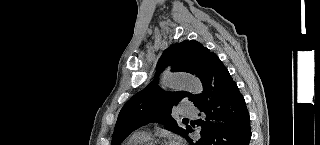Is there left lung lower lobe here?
<instances>
[{"label":"left lung lower lobe","instance_id":"obj_1","mask_svg":"<svg viewBox=\"0 0 320 145\" xmlns=\"http://www.w3.org/2000/svg\"><path fill=\"white\" fill-rule=\"evenodd\" d=\"M203 92L194 104L201 117V138L190 145H248L251 139L250 117L246 103L227 68L218 58L205 71ZM193 129L189 127V132Z\"/></svg>","mask_w":320,"mask_h":145}]
</instances>
